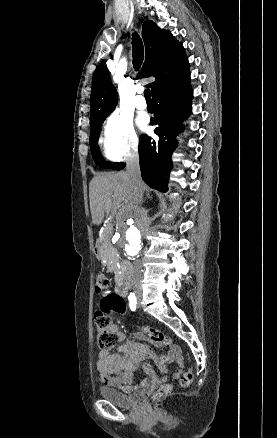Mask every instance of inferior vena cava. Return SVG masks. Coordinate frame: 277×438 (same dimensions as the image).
Here are the masks:
<instances>
[{"label": "inferior vena cava", "instance_id": "602c4592", "mask_svg": "<svg viewBox=\"0 0 277 438\" xmlns=\"http://www.w3.org/2000/svg\"><path fill=\"white\" fill-rule=\"evenodd\" d=\"M139 162L140 160L138 152H132V156H128V158H126L128 182L132 190H136V192H138V190H141V186H143ZM141 276V262L140 260H135L133 274L131 278V284L134 290H138Z\"/></svg>", "mask_w": 277, "mask_h": 438}]
</instances>
